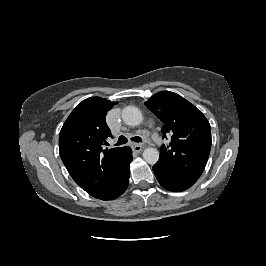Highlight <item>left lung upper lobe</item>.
<instances>
[{
	"mask_svg": "<svg viewBox=\"0 0 266 266\" xmlns=\"http://www.w3.org/2000/svg\"><path fill=\"white\" fill-rule=\"evenodd\" d=\"M145 105L164 123V137L172 135L169 146L161 147L157 164L176 176L198 179L211 149L206 117L189 101L170 91L156 93Z\"/></svg>",
	"mask_w": 266,
	"mask_h": 266,
	"instance_id": "5c2ea615",
	"label": "left lung upper lobe"
}]
</instances>
